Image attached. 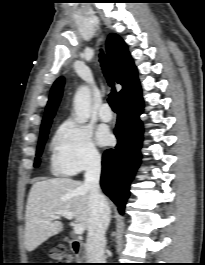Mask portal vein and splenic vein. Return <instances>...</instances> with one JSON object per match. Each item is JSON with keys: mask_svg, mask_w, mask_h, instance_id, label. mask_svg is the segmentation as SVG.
<instances>
[{"mask_svg": "<svg viewBox=\"0 0 205 265\" xmlns=\"http://www.w3.org/2000/svg\"><path fill=\"white\" fill-rule=\"evenodd\" d=\"M57 216H63L65 218H67L68 220H72L73 219V214L69 211H59L56 214H52L50 217L51 218H56ZM73 226V230L76 234L81 235L84 233V228L82 225L78 224V223H71Z\"/></svg>", "mask_w": 205, "mask_h": 265, "instance_id": "1", "label": "portal vein and splenic vein"}]
</instances>
